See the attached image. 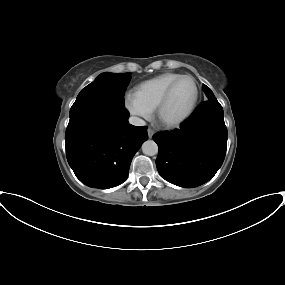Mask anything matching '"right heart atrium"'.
Returning <instances> with one entry per match:
<instances>
[{"label":"right heart atrium","instance_id":"obj_1","mask_svg":"<svg viewBox=\"0 0 285 285\" xmlns=\"http://www.w3.org/2000/svg\"><path fill=\"white\" fill-rule=\"evenodd\" d=\"M126 110L133 116L148 119L151 116V111L142 106L133 95L128 94L124 99Z\"/></svg>","mask_w":285,"mask_h":285}]
</instances>
